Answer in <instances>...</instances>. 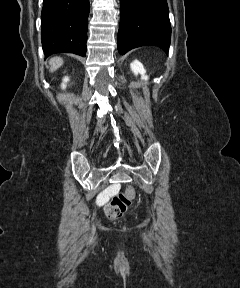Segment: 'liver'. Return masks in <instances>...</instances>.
Returning <instances> with one entry per match:
<instances>
[{
	"label": "liver",
	"instance_id": "liver-1",
	"mask_svg": "<svg viewBox=\"0 0 240 288\" xmlns=\"http://www.w3.org/2000/svg\"><path fill=\"white\" fill-rule=\"evenodd\" d=\"M49 64L50 71L54 72L63 65V59L61 57H53L50 59Z\"/></svg>",
	"mask_w": 240,
	"mask_h": 288
}]
</instances>
